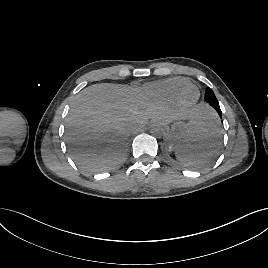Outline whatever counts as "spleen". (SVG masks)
<instances>
[{
    "label": "spleen",
    "instance_id": "1",
    "mask_svg": "<svg viewBox=\"0 0 268 268\" xmlns=\"http://www.w3.org/2000/svg\"><path fill=\"white\" fill-rule=\"evenodd\" d=\"M189 144L175 149L179 161L200 164L215 156L220 143L219 120L213 113H206L193 123Z\"/></svg>",
    "mask_w": 268,
    "mask_h": 268
}]
</instances>
